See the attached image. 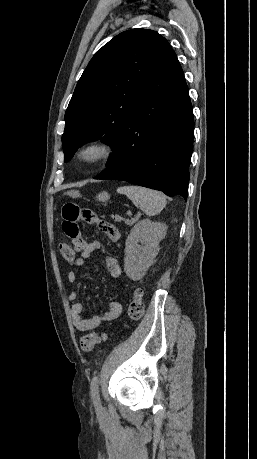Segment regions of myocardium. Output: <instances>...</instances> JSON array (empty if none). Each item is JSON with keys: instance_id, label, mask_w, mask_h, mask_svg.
<instances>
[{"instance_id": "myocardium-1", "label": "myocardium", "mask_w": 257, "mask_h": 459, "mask_svg": "<svg viewBox=\"0 0 257 459\" xmlns=\"http://www.w3.org/2000/svg\"><path fill=\"white\" fill-rule=\"evenodd\" d=\"M114 146L105 139L90 140L81 145L75 152V158L84 168H94L107 160L114 154ZM91 153L92 156L86 155Z\"/></svg>"}]
</instances>
